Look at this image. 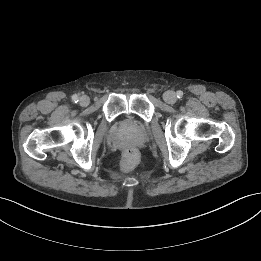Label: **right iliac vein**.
I'll list each match as a JSON object with an SVG mask.
<instances>
[{
	"instance_id": "right-iliac-vein-1",
	"label": "right iliac vein",
	"mask_w": 261,
	"mask_h": 261,
	"mask_svg": "<svg viewBox=\"0 0 261 261\" xmlns=\"http://www.w3.org/2000/svg\"><path fill=\"white\" fill-rule=\"evenodd\" d=\"M90 100H89V97L88 96H81L80 99H79V104L81 106H87L89 104Z\"/></svg>"
}]
</instances>
